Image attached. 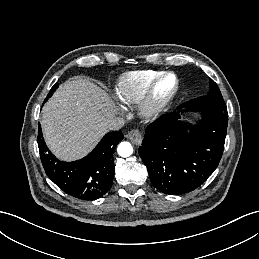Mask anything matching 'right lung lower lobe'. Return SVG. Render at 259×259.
Returning <instances> with one entry per match:
<instances>
[{
    "mask_svg": "<svg viewBox=\"0 0 259 259\" xmlns=\"http://www.w3.org/2000/svg\"><path fill=\"white\" fill-rule=\"evenodd\" d=\"M122 139L121 132L109 133L88 156L71 163L58 160L50 152L40 126L37 142L47 176L65 193L83 200H95L112 186L115 171L112 156Z\"/></svg>",
    "mask_w": 259,
    "mask_h": 259,
    "instance_id": "98d812e1",
    "label": "right lung lower lobe"
}]
</instances>
